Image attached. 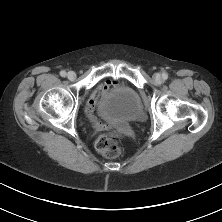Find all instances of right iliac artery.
Listing matches in <instances>:
<instances>
[{
    "mask_svg": "<svg viewBox=\"0 0 222 222\" xmlns=\"http://www.w3.org/2000/svg\"><path fill=\"white\" fill-rule=\"evenodd\" d=\"M60 75H61L62 77H65V76H66V72H65V71H61V72H60Z\"/></svg>",
    "mask_w": 222,
    "mask_h": 222,
    "instance_id": "right-iliac-artery-1",
    "label": "right iliac artery"
}]
</instances>
